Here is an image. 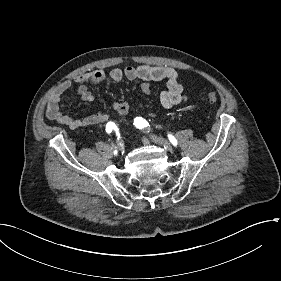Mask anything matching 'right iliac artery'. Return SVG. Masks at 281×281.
<instances>
[{
    "label": "right iliac artery",
    "mask_w": 281,
    "mask_h": 281,
    "mask_svg": "<svg viewBox=\"0 0 281 281\" xmlns=\"http://www.w3.org/2000/svg\"><path fill=\"white\" fill-rule=\"evenodd\" d=\"M116 128V125L114 122H108L107 125H106V132L107 133H111L113 129ZM114 154H117V151L115 150L114 151Z\"/></svg>",
    "instance_id": "right-iliac-artery-1"
}]
</instances>
